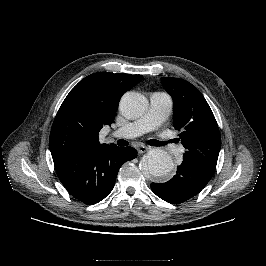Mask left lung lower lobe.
<instances>
[{
  "mask_svg": "<svg viewBox=\"0 0 266 266\" xmlns=\"http://www.w3.org/2000/svg\"><path fill=\"white\" fill-rule=\"evenodd\" d=\"M212 176L182 162L171 180L161 184L151 183V189L161 199L179 204L198 194Z\"/></svg>",
  "mask_w": 266,
  "mask_h": 266,
  "instance_id": "obj_1",
  "label": "left lung lower lobe"
}]
</instances>
